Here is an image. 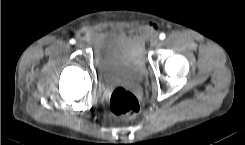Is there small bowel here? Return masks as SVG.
Masks as SVG:
<instances>
[{
	"label": "small bowel",
	"instance_id": "small-bowel-1",
	"mask_svg": "<svg viewBox=\"0 0 245 145\" xmlns=\"http://www.w3.org/2000/svg\"><path fill=\"white\" fill-rule=\"evenodd\" d=\"M154 29L153 27L151 28V30ZM90 37L94 42H99V40L101 39V33L100 32H92L90 33Z\"/></svg>",
	"mask_w": 245,
	"mask_h": 145
}]
</instances>
